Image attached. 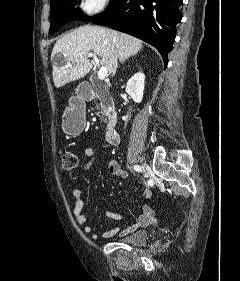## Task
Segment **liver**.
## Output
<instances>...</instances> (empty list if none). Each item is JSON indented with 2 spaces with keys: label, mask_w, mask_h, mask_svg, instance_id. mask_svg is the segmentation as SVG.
Masks as SVG:
<instances>
[{
  "label": "liver",
  "mask_w": 240,
  "mask_h": 281,
  "mask_svg": "<svg viewBox=\"0 0 240 281\" xmlns=\"http://www.w3.org/2000/svg\"><path fill=\"white\" fill-rule=\"evenodd\" d=\"M142 47L141 40L125 33L92 25L81 26L65 34L53 47L51 60L54 85L60 88L86 76L93 67L87 57L91 51L101 58V65L111 74L114 61L116 64L118 60L123 63L136 55ZM57 54L63 55L65 65L55 62Z\"/></svg>",
  "instance_id": "6515ba94"
}]
</instances>
